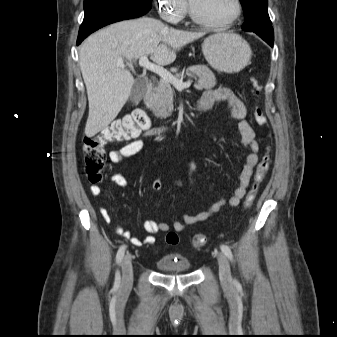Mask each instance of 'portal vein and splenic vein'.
I'll return each mask as SVG.
<instances>
[{"mask_svg": "<svg viewBox=\"0 0 337 337\" xmlns=\"http://www.w3.org/2000/svg\"><path fill=\"white\" fill-rule=\"evenodd\" d=\"M139 65L149 71H152L158 74L162 79L174 85V87L178 91H182L191 86L192 81L189 80L187 82H183L182 80L178 79L176 76L172 75L169 71H167L162 66L151 63L146 56H143L139 59ZM117 67H120V68L125 67V64L122 59L118 60Z\"/></svg>", "mask_w": 337, "mask_h": 337, "instance_id": "18ae733b", "label": "portal vein and splenic vein"}]
</instances>
